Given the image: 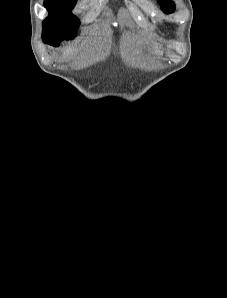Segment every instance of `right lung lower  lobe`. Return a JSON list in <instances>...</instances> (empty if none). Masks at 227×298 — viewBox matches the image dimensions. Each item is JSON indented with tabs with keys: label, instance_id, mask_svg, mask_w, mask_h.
I'll use <instances>...</instances> for the list:
<instances>
[{
	"label": "right lung lower lobe",
	"instance_id": "1",
	"mask_svg": "<svg viewBox=\"0 0 227 298\" xmlns=\"http://www.w3.org/2000/svg\"><path fill=\"white\" fill-rule=\"evenodd\" d=\"M42 39H43V41H44L45 43H47V44H49V45H53V46H55L52 40H49V39H47V38H42Z\"/></svg>",
	"mask_w": 227,
	"mask_h": 298
}]
</instances>
